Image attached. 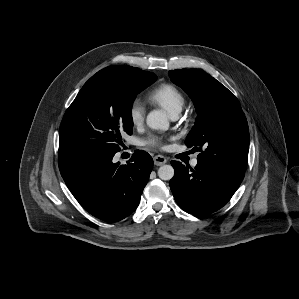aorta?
Returning <instances> with one entry per match:
<instances>
[{"mask_svg": "<svg viewBox=\"0 0 299 299\" xmlns=\"http://www.w3.org/2000/svg\"><path fill=\"white\" fill-rule=\"evenodd\" d=\"M146 123L151 129L168 130L169 121L165 112L161 110L151 111L146 118ZM160 179L168 181L174 176V168L171 165H163L158 169Z\"/></svg>", "mask_w": 299, "mask_h": 299, "instance_id": "762f6f07", "label": "aorta"}]
</instances>
